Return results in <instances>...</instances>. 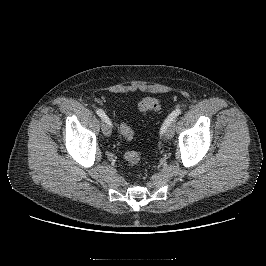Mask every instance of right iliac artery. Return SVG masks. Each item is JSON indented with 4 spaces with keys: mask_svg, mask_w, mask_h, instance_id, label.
<instances>
[{
    "mask_svg": "<svg viewBox=\"0 0 266 266\" xmlns=\"http://www.w3.org/2000/svg\"><path fill=\"white\" fill-rule=\"evenodd\" d=\"M96 113L99 117H101L103 120H105L106 122H108V124L112 125L109 118L107 117V115L104 113L103 110L101 109H96Z\"/></svg>",
    "mask_w": 266,
    "mask_h": 266,
    "instance_id": "1",
    "label": "right iliac artery"
}]
</instances>
